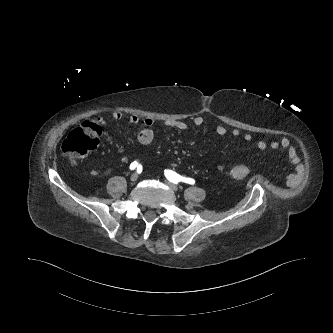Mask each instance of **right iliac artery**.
<instances>
[{
    "label": "right iliac artery",
    "instance_id": "1",
    "mask_svg": "<svg viewBox=\"0 0 333 333\" xmlns=\"http://www.w3.org/2000/svg\"><path fill=\"white\" fill-rule=\"evenodd\" d=\"M142 169V165H140L137 161H134L130 164V170L134 169Z\"/></svg>",
    "mask_w": 333,
    "mask_h": 333
}]
</instances>
